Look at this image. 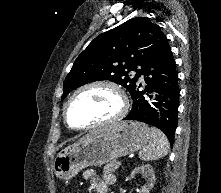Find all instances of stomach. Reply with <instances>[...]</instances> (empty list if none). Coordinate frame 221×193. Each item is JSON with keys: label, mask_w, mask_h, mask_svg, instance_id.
<instances>
[{"label": "stomach", "mask_w": 221, "mask_h": 193, "mask_svg": "<svg viewBox=\"0 0 221 193\" xmlns=\"http://www.w3.org/2000/svg\"><path fill=\"white\" fill-rule=\"evenodd\" d=\"M151 138L150 128L141 122L126 121L103 131L88 134L62 150L53 162L55 175L69 180L88 166H101L143 148Z\"/></svg>", "instance_id": "obj_1"}]
</instances>
